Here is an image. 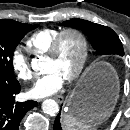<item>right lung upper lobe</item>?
<instances>
[{
	"label": "right lung upper lobe",
	"instance_id": "1",
	"mask_svg": "<svg viewBox=\"0 0 130 130\" xmlns=\"http://www.w3.org/2000/svg\"><path fill=\"white\" fill-rule=\"evenodd\" d=\"M0 22H6V23H11V24H15V23H18L14 20H9V19H1Z\"/></svg>",
	"mask_w": 130,
	"mask_h": 130
}]
</instances>
